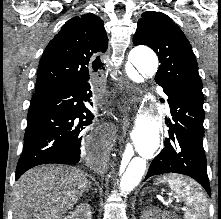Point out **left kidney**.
Returning <instances> with one entry per match:
<instances>
[{
	"mask_svg": "<svg viewBox=\"0 0 221 219\" xmlns=\"http://www.w3.org/2000/svg\"><path fill=\"white\" fill-rule=\"evenodd\" d=\"M169 212H161L160 210L148 209L143 212L141 219H171Z\"/></svg>",
	"mask_w": 221,
	"mask_h": 219,
	"instance_id": "obj_1",
	"label": "left kidney"
}]
</instances>
